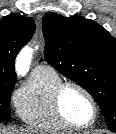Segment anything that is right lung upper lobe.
Instances as JSON below:
<instances>
[{"label": "right lung upper lobe", "mask_w": 116, "mask_h": 134, "mask_svg": "<svg viewBox=\"0 0 116 134\" xmlns=\"http://www.w3.org/2000/svg\"><path fill=\"white\" fill-rule=\"evenodd\" d=\"M34 32L32 18L10 14L0 20V82H16L15 57Z\"/></svg>", "instance_id": "cb5924a9"}]
</instances>
